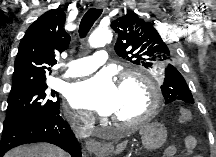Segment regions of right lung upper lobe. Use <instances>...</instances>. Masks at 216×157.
I'll return each instance as SVG.
<instances>
[{
	"mask_svg": "<svg viewBox=\"0 0 216 157\" xmlns=\"http://www.w3.org/2000/svg\"><path fill=\"white\" fill-rule=\"evenodd\" d=\"M65 16L61 8L49 10L27 29L19 44L10 93L46 85L45 74L56 64L55 53L70 43L63 28Z\"/></svg>",
	"mask_w": 216,
	"mask_h": 157,
	"instance_id": "cb5924a9",
	"label": "right lung upper lobe"
}]
</instances>
